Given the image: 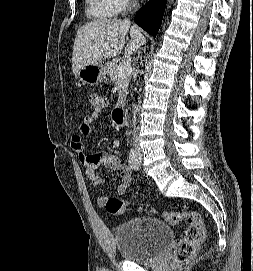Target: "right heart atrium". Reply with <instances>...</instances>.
Here are the masks:
<instances>
[{
    "label": "right heart atrium",
    "mask_w": 253,
    "mask_h": 271,
    "mask_svg": "<svg viewBox=\"0 0 253 271\" xmlns=\"http://www.w3.org/2000/svg\"><path fill=\"white\" fill-rule=\"evenodd\" d=\"M119 11L126 9L136 2V0H112Z\"/></svg>",
    "instance_id": "right-heart-atrium-1"
}]
</instances>
